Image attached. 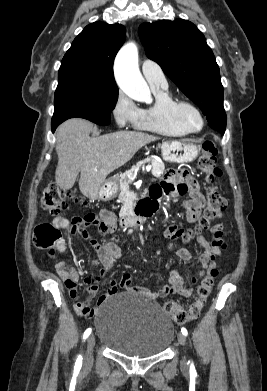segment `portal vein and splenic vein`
Returning <instances> with one entry per match:
<instances>
[{"instance_id":"portal-vein-and-splenic-vein-1","label":"portal vein and splenic vein","mask_w":267,"mask_h":391,"mask_svg":"<svg viewBox=\"0 0 267 391\" xmlns=\"http://www.w3.org/2000/svg\"><path fill=\"white\" fill-rule=\"evenodd\" d=\"M151 168H152L151 165L147 166V167H146V171L149 172V171L151 170ZM128 178H129L130 180H134V179L136 178V175H135V174L129 173V174H128Z\"/></svg>"}]
</instances>
